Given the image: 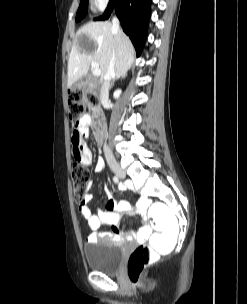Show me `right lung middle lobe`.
I'll return each mask as SVG.
<instances>
[{
    "label": "right lung middle lobe",
    "mask_w": 247,
    "mask_h": 304,
    "mask_svg": "<svg viewBox=\"0 0 247 304\" xmlns=\"http://www.w3.org/2000/svg\"><path fill=\"white\" fill-rule=\"evenodd\" d=\"M87 8H88V0H81L76 14V22L81 21L86 16Z\"/></svg>",
    "instance_id": "obj_1"
}]
</instances>
